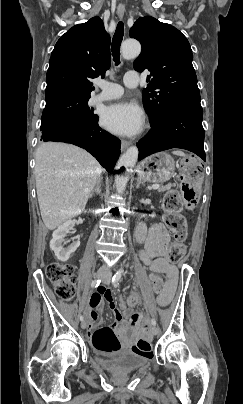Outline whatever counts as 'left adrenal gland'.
<instances>
[{
    "instance_id": "obj_1",
    "label": "left adrenal gland",
    "mask_w": 243,
    "mask_h": 404,
    "mask_svg": "<svg viewBox=\"0 0 243 404\" xmlns=\"http://www.w3.org/2000/svg\"><path fill=\"white\" fill-rule=\"evenodd\" d=\"M140 184H144V182H142L140 176L139 178H137V184H136V188H139Z\"/></svg>"
}]
</instances>
